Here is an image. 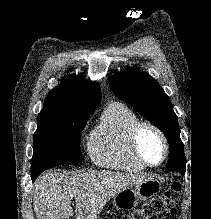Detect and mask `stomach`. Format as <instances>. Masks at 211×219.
Returning a JSON list of instances; mask_svg holds the SVG:
<instances>
[{
  "label": "stomach",
  "mask_w": 211,
  "mask_h": 219,
  "mask_svg": "<svg viewBox=\"0 0 211 219\" xmlns=\"http://www.w3.org/2000/svg\"><path fill=\"white\" fill-rule=\"evenodd\" d=\"M161 189L159 181L148 178L144 182L120 191L113 197V207L117 210H130L136 207L139 200L148 199Z\"/></svg>",
  "instance_id": "stomach-1"
}]
</instances>
